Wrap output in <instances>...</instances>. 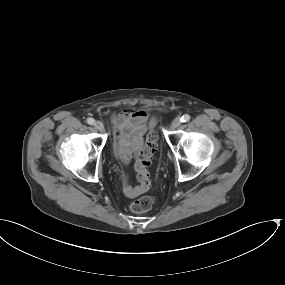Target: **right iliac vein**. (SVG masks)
I'll return each mask as SVG.
<instances>
[{"label":"right iliac vein","instance_id":"right-iliac-vein-1","mask_svg":"<svg viewBox=\"0 0 285 285\" xmlns=\"http://www.w3.org/2000/svg\"><path fill=\"white\" fill-rule=\"evenodd\" d=\"M94 127L98 130V131H104V126L102 124L101 121H95L94 123Z\"/></svg>","mask_w":285,"mask_h":285}]
</instances>
